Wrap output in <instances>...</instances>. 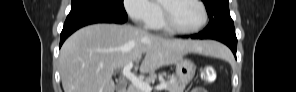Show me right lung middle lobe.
Segmentation results:
<instances>
[{"label": "right lung middle lobe", "instance_id": "right-lung-middle-lobe-1", "mask_svg": "<svg viewBox=\"0 0 296 92\" xmlns=\"http://www.w3.org/2000/svg\"><path fill=\"white\" fill-rule=\"evenodd\" d=\"M86 7L127 15L123 6V0H72L71 10Z\"/></svg>", "mask_w": 296, "mask_h": 92}]
</instances>
